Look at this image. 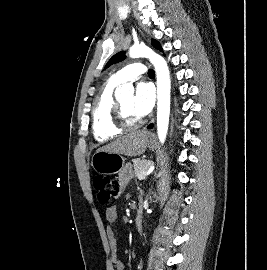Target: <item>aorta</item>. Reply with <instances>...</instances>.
Masks as SVG:
<instances>
[{
	"label": "aorta",
	"instance_id": "obj_1",
	"mask_svg": "<svg viewBox=\"0 0 267 270\" xmlns=\"http://www.w3.org/2000/svg\"><path fill=\"white\" fill-rule=\"evenodd\" d=\"M129 56L131 58L145 57L155 68L157 75V134L160 143H164L169 124L170 114V72L165 59L155 53L152 49L145 45H136L130 48ZM134 87L131 84H124L117 88L116 96H132Z\"/></svg>",
	"mask_w": 267,
	"mask_h": 270
}]
</instances>
